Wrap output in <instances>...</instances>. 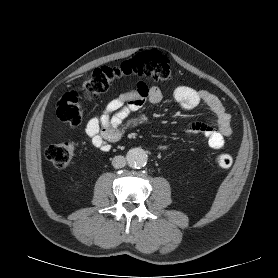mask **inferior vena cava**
<instances>
[{
    "label": "inferior vena cava",
    "mask_w": 278,
    "mask_h": 278,
    "mask_svg": "<svg viewBox=\"0 0 278 278\" xmlns=\"http://www.w3.org/2000/svg\"><path fill=\"white\" fill-rule=\"evenodd\" d=\"M112 165L116 169L123 168L126 165L125 157L121 155L115 156L112 160Z\"/></svg>",
    "instance_id": "1"
}]
</instances>
